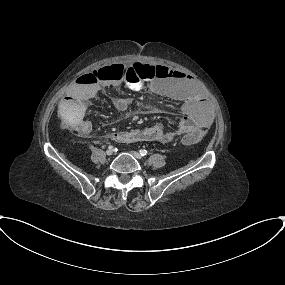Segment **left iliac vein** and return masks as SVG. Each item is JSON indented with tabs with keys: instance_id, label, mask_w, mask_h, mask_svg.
<instances>
[{
	"instance_id": "left-iliac-vein-1",
	"label": "left iliac vein",
	"mask_w": 285,
	"mask_h": 285,
	"mask_svg": "<svg viewBox=\"0 0 285 285\" xmlns=\"http://www.w3.org/2000/svg\"><path fill=\"white\" fill-rule=\"evenodd\" d=\"M130 153L138 160H141L142 159V156L140 155L139 152L137 151H130Z\"/></svg>"
}]
</instances>
